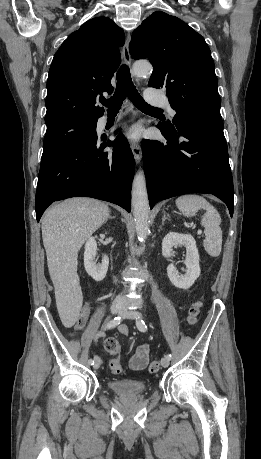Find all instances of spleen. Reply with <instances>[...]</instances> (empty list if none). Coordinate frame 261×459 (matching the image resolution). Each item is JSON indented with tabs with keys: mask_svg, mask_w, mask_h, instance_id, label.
<instances>
[{
	"mask_svg": "<svg viewBox=\"0 0 261 459\" xmlns=\"http://www.w3.org/2000/svg\"><path fill=\"white\" fill-rule=\"evenodd\" d=\"M175 203L180 212L187 217L195 216L201 209L206 211L201 218L205 233L203 246L210 256L218 257L222 249L221 217L214 206L204 197L196 194L180 196Z\"/></svg>",
	"mask_w": 261,
	"mask_h": 459,
	"instance_id": "1",
	"label": "spleen"
}]
</instances>
